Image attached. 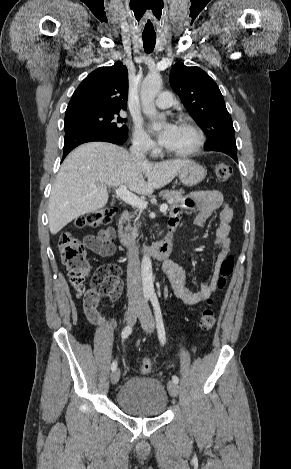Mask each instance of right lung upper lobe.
<instances>
[{"label":"right lung upper lobe","instance_id":"cb5924a9","mask_svg":"<svg viewBox=\"0 0 291 469\" xmlns=\"http://www.w3.org/2000/svg\"><path fill=\"white\" fill-rule=\"evenodd\" d=\"M128 72L126 66L116 62L91 72L78 86L66 113L89 109H126Z\"/></svg>","mask_w":291,"mask_h":469}]
</instances>
